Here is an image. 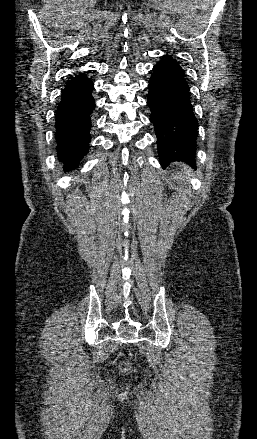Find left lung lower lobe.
Here are the masks:
<instances>
[{
	"instance_id": "obj_1",
	"label": "left lung lower lobe",
	"mask_w": 257,
	"mask_h": 439,
	"mask_svg": "<svg viewBox=\"0 0 257 439\" xmlns=\"http://www.w3.org/2000/svg\"><path fill=\"white\" fill-rule=\"evenodd\" d=\"M147 100L161 165L182 161L195 166L198 122L184 70L168 55L153 68Z\"/></svg>"
}]
</instances>
